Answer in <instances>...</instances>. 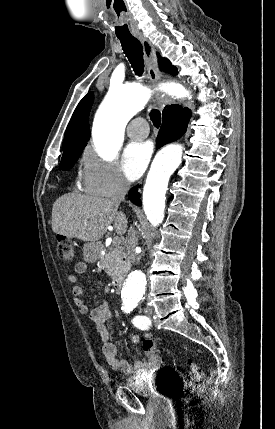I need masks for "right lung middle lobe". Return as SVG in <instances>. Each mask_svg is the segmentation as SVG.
Instances as JSON below:
<instances>
[{"instance_id": "dd1d6c3e", "label": "right lung middle lobe", "mask_w": 275, "mask_h": 429, "mask_svg": "<svg viewBox=\"0 0 275 429\" xmlns=\"http://www.w3.org/2000/svg\"><path fill=\"white\" fill-rule=\"evenodd\" d=\"M80 154L81 152L62 157L61 163L59 165V170H69L70 168H72L75 162L78 160Z\"/></svg>"}]
</instances>
